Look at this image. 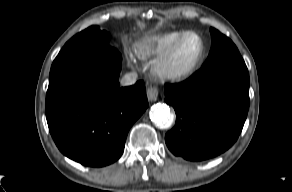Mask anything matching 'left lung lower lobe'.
<instances>
[{
    "label": "left lung lower lobe",
    "instance_id": "obj_1",
    "mask_svg": "<svg viewBox=\"0 0 292 192\" xmlns=\"http://www.w3.org/2000/svg\"><path fill=\"white\" fill-rule=\"evenodd\" d=\"M245 62L201 68L179 84H166V103L176 124L165 135L169 150L190 161L215 157L237 140L249 109Z\"/></svg>",
    "mask_w": 292,
    "mask_h": 192
}]
</instances>
